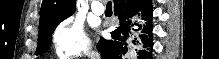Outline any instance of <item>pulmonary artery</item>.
I'll return each instance as SVG.
<instances>
[{
    "label": "pulmonary artery",
    "mask_w": 219,
    "mask_h": 59,
    "mask_svg": "<svg viewBox=\"0 0 219 59\" xmlns=\"http://www.w3.org/2000/svg\"><path fill=\"white\" fill-rule=\"evenodd\" d=\"M103 2L102 1H95L93 4H92V11L93 13H95L96 15H102L104 14L105 12V7L104 5L102 4Z\"/></svg>",
    "instance_id": "1"
}]
</instances>
